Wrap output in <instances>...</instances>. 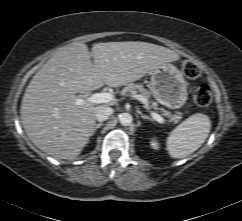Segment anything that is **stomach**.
I'll return each instance as SVG.
<instances>
[{
	"instance_id": "obj_1",
	"label": "stomach",
	"mask_w": 242,
	"mask_h": 221,
	"mask_svg": "<svg viewBox=\"0 0 242 221\" xmlns=\"http://www.w3.org/2000/svg\"><path fill=\"white\" fill-rule=\"evenodd\" d=\"M151 92L159 103L176 109L187 101V82L182 72L173 64L166 63L150 72Z\"/></svg>"
}]
</instances>
